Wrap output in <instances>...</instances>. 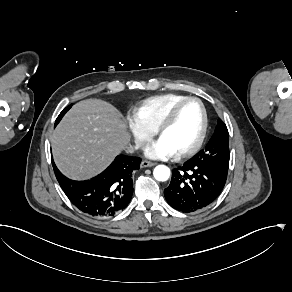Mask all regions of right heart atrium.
Wrapping results in <instances>:
<instances>
[{
    "label": "right heart atrium",
    "instance_id": "right-heart-atrium-1",
    "mask_svg": "<svg viewBox=\"0 0 292 292\" xmlns=\"http://www.w3.org/2000/svg\"><path fill=\"white\" fill-rule=\"evenodd\" d=\"M124 118V124L128 127L130 133L134 138V142L138 147L144 146L150 135L152 134V130L143 124H141L132 113H128Z\"/></svg>",
    "mask_w": 292,
    "mask_h": 292
}]
</instances>
